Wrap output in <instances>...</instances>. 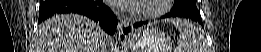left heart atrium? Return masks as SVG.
Segmentation results:
<instances>
[{
    "instance_id": "obj_1",
    "label": "left heart atrium",
    "mask_w": 261,
    "mask_h": 52,
    "mask_svg": "<svg viewBox=\"0 0 261 52\" xmlns=\"http://www.w3.org/2000/svg\"><path fill=\"white\" fill-rule=\"evenodd\" d=\"M144 2L143 0H113L112 4L115 7L126 8L132 10L137 7L138 4Z\"/></svg>"
}]
</instances>
